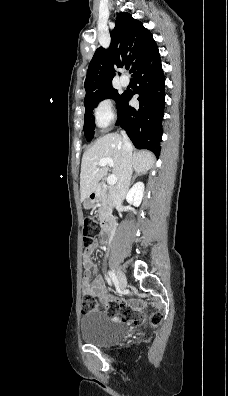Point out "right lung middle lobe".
<instances>
[{
    "label": "right lung middle lobe",
    "instance_id": "obj_1",
    "mask_svg": "<svg viewBox=\"0 0 228 396\" xmlns=\"http://www.w3.org/2000/svg\"><path fill=\"white\" fill-rule=\"evenodd\" d=\"M124 95L125 93L119 94L118 90L114 89L113 86H110L96 93H93L88 98L84 99V134L87 141L92 140L94 136L95 119L92 115V111L97 106V104L104 99L112 98L116 101L118 107Z\"/></svg>",
    "mask_w": 228,
    "mask_h": 396
}]
</instances>
